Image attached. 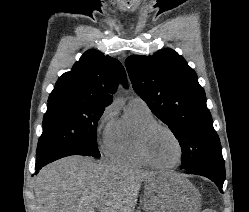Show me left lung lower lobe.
<instances>
[{"mask_svg": "<svg viewBox=\"0 0 249 212\" xmlns=\"http://www.w3.org/2000/svg\"><path fill=\"white\" fill-rule=\"evenodd\" d=\"M186 173L207 177L218 186L220 191H222L225 180V165L223 159L207 162L187 171Z\"/></svg>", "mask_w": 249, "mask_h": 212, "instance_id": "0a47b994", "label": "left lung lower lobe"}]
</instances>
